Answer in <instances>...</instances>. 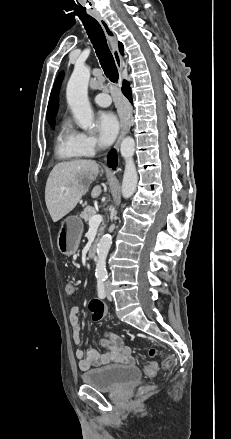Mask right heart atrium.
Instances as JSON below:
<instances>
[{"mask_svg":"<svg viewBox=\"0 0 231 439\" xmlns=\"http://www.w3.org/2000/svg\"><path fill=\"white\" fill-rule=\"evenodd\" d=\"M78 148L84 156H92L101 147L99 140L90 134L76 133Z\"/></svg>","mask_w":231,"mask_h":439,"instance_id":"1","label":"right heart atrium"}]
</instances>
